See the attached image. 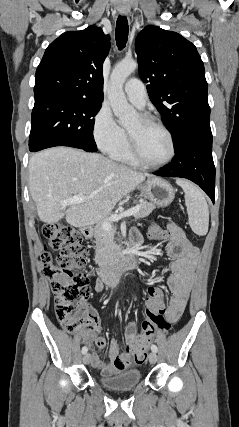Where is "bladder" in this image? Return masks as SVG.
<instances>
[{"mask_svg": "<svg viewBox=\"0 0 239 427\" xmlns=\"http://www.w3.org/2000/svg\"><path fill=\"white\" fill-rule=\"evenodd\" d=\"M141 381V372L132 368L117 373L115 375L100 377L101 384L111 390H129L134 388Z\"/></svg>", "mask_w": 239, "mask_h": 427, "instance_id": "bladder-1", "label": "bladder"}]
</instances>
